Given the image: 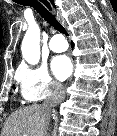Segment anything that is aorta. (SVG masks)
Returning <instances> with one entry per match:
<instances>
[{
  "label": "aorta",
  "instance_id": "obj_1",
  "mask_svg": "<svg viewBox=\"0 0 117 136\" xmlns=\"http://www.w3.org/2000/svg\"><path fill=\"white\" fill-rule=\"evenodd\" d=\"M21 51L23 58L28 63H38L40 59V29L36 23L29 25L22 41Z\"/></svg>",
  "mask_w": 117,
  "mask_h": 136
}]
</instances>
